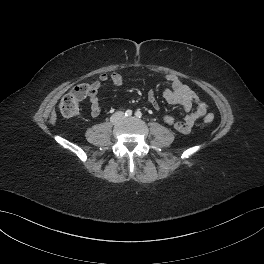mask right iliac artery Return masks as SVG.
<instances>
[{
	"mask_svg": "<svg viewBox=\"0 0 264 264\" xmlns=\"http://www.w3.org/2000/svg\"><path fill=\"white\" fill-rule=\"evenodd\" d=\"M131 115H132V111L131 110H127L125 112V116L130 117Z\"/></svg>",
	"mask_w": 264,
	"mask_h": 264,
	"instance_id": "obj_1",
	"label": "right iliac artery"
}]
</instances>
